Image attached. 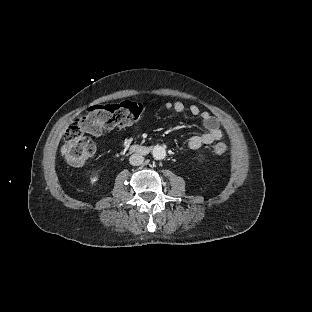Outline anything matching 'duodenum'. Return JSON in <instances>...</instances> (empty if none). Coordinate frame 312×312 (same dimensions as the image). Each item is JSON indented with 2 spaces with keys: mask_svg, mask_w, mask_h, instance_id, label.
Returning a JSON list of instances; mask_svg holds the SVG:
<instances>
[{
  "mask_svg": "<svg viewBox=\"0 0 312 312\" xmlns=\"http://www.w3.org/2000/svg\"><path fill=\"white\" fill-rule=\"evenodd\" d=\"M130 150L136 154L143 155L148 152V147L145 145L135 144L130 147Z\"/></svg>",
  "mask_w": 312,
  "mask_h": 312,
  "instance_id": "1",
  "label": "duodenum"
}]
</instances>
